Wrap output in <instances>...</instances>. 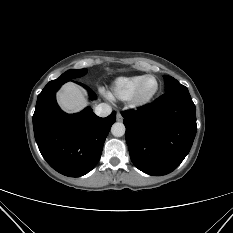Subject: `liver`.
<instances>
[{"label":"liver","mask_w":233,"mask_h":233,"mask_svg":"<svg viewBox=\"0 0 233 233\" xmlns=\"http://www.w3.org/2000/svg\"><path fill=\"white\" fill-rule=\"evenodd\" d=\"M57 101L61 108L69 113L79 112L87 105L85 94L74 83H66L57 93Z\"/></svg>","instance_id":"obj_1"}]
</instances>
